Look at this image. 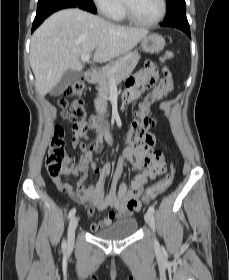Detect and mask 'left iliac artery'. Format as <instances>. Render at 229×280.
<instances>
[{"label": "left iliac artery", "instance_id": "obj_1", "mask_svg": "<svg viewBox=\"0 0 229 280\" xmlns=\"http://www.w3.org/2000/svg\"><path fill=\"white\" fill-rule=\"evenodd\" d=\"M148 210L151 211L152 213H154V211H155L154 206H150Z\"/></svg>", "mask_w": 229, "mask_h": 280}]
</instances>
